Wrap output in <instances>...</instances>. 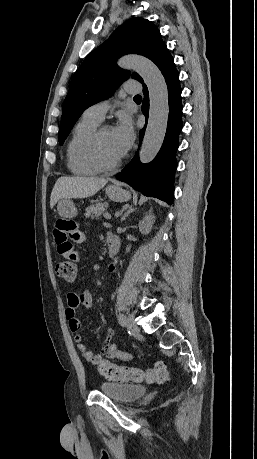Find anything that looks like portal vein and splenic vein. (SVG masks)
<instances>
[{"mask_svg":"<svg viewBox=\"0 0 257 459\" xmlns=\"http://www.w3.org/2000/svg\"><path fill=\"white\" fill-rule=\"evenodd\" d=\"M103 216H104V218L107 219V220L111 219V215H110L108 212L104 213Z\"/></svg>","mask_w":257,"mask_h":459,"instance_id":"portal-vein-and-splenic-vein-1","label":"portal vein and splenic vein"}]
</instances>
